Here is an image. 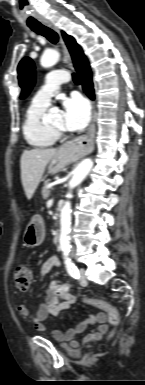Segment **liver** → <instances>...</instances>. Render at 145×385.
<instances>
[{
	"mask_svg": "<svg viewBox=\"0 0 145 385\" xmlns=\"http://www.w3.org/2000/svg\"><path fill=\"white\" fill-rule=\"evenodd\" d=\"M57 152L58 149L55 148H35L25 150L22 153L20 160L21 181L28 199L32 198L35 190L42 180L47 164Z\"/></svg>",
	"mask_w": 145,
	"mask_h": 385,
	"instance_id": "1",
	"label": "liver"
}]
</instances>
